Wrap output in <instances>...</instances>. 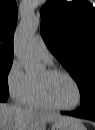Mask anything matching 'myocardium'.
<instances>
[{"instance_id":"1","label":"myocardium","mask_w":95,"mask_h":130,"mask_svg":"<svg viewBox=\"0 0 95 130\" xmlns=\"http://www.w3.org/2000/svg\"><path fill=\"white\" fill-rule=\"evenodd\" d=\"M47 74L50 76H54V75H64L67 78H69L73 84L75 85L77 92H78V99L75 105L70 106V107H64V106H60L56 103H54L50 97L48 96L45 87L40 84V83H36L37 84V88H38V92L39 95L41 97V99L43 100V102H45L50 108H54V109H58V110H63V111H72L77 109L83 99V93H82V89L81 86L79 84V82L67 71L63 70V69H59V68H51L47 70Z\"/></svg>"}]
</instances>
